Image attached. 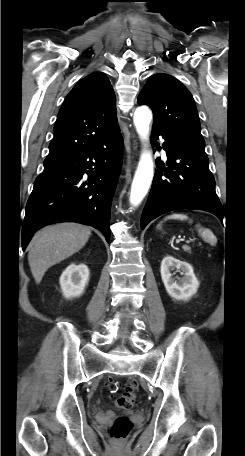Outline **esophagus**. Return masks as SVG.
Instances as JSON below:
<instances>
[{
	"label": "esophagus",
	"instance_id": "34e87169",
	"mask_svg": "<svg viewBox=\"0 0 245 456\" xmlns=\"http://www.w3.org/2000/svg\"><path fill=\"white\" fill-rule=\"evenodd\" d=\"M129 138H130L131 140H133V139H134V133H131L130 136H129Z\"/></svg>",
	"mask_w": 245,
	"mask_h": 456
}]
</instances>
